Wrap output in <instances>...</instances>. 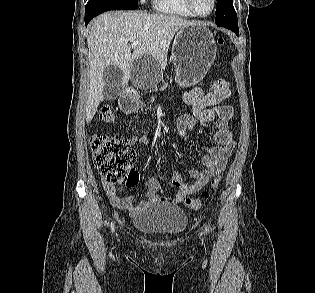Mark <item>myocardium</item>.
<instances>
[{"instance_id":"1","label":"myocardium","mask_w":315,"mask_h":293,"mask_svg":"<svg viewBox=\"0 0 315 293\" xmlns=\"http://www.w3.org/2000/svg\"><path fill=\"white\" fill-rule=\"evenodd\" d=\"M187 1V5L189 7V9L191 10V12L196 16V17H201V18H205L210 16L216 9V5H217V1L216 0H212V9L209 13L207 14H201L197 11L196 7H195V1L194 0H186Z\"/></svg>"}]
</instances>
